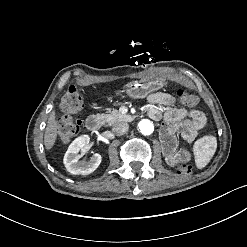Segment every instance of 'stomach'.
I'll return each mask as SVG.
<instances>
[{
	"mask_svg": "<svg viewBox=\"0 0 247 247\" xmlns=\"http://www.w3.org/2000/svg\"><path fill=\"white\" fill-rule=\"evenodd\" d=\"M164 85L162 80L132 81L126 84V93L135 99L145 98L149 93L159 90Z\"/></svg>",
	"mask_w": 247,
	"mask_h": 247,
	"instance_id": "obj_1",
	"label": "stomach"
}]
</instances>
